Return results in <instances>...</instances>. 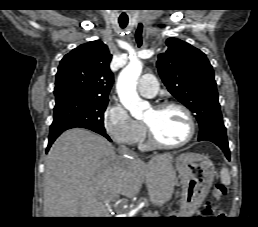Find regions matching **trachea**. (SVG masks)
Listing matches in <instances>:
<instances>
[{
	"label": "trachea",
	"instance_id": "3493384b",
	"mask_svg": "<svg viewBox=\"0 0 258 227\" xmlns=\"http://www.w3.org/2000/svg\"><path fill=\"white\" fill-rule=\"evenodd\" d=\"M128 24V20H119V25L121 28H125Z\"/></svg>",
	"mask_w": 258,
	"mask_h": 227
}]
</instances>
